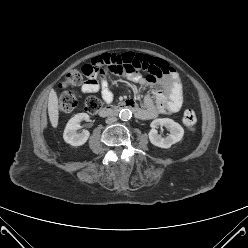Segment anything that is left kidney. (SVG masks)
<instances>
[{"label": "left kidney", "mask_w": 248, "mask_h": 248, "mask_svg": "<svg viewBox=\"0 0 248 248\" xmlns=\"http://www.w3.org/2000/svg\"><path fill=\"white\" fill-rule=\"evenodd\" d=\"M151 130L149 132L150 142L160 148H170L173 144L182 140L184 130L180 124L169 118H158L151 122ZM165 127L170 130V134L163 138L158 134L156 128Z\"/></svg>", "instance_id": "left-kidney-1"}]
</instances>
